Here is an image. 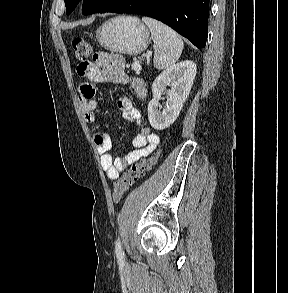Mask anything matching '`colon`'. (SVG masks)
Here are the masks:
<instances>
[{
  "mask_svg": "<svg viewBox=\"0 0 288 293\" xmlns=\"http://www.w3.org/2000/svg\"><path fill=\"white\" fill-rule=\"evenodd\" d=\"M76 58L81 63L88 62V58L93 52L92 44L83 39L75 38L72 42ZM161 150L158 149L152 156L142 159L134 164L121 178L117 180L113 191L114 202H119L126 191L141 177H143L157 163Z\"/></svg>",
  "mask_w": 288,
  "mask_h": 293,
  "instance_id": "colon-1",
  "label": "colon"
}]
</instances>
